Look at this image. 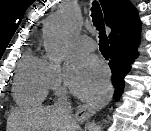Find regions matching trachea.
Returning <instances> with one entry per match:
<instances>
[{
  "mask_svg": "<svg viewBox=\"0 0 151 131\" xmlns=\"http://www.w3.org/2000/svg\"><path fill=\"white\" fill-rule=\"evenodd\" d=\"M91 11H92L91 17H92L93 24L96 27V29L99 31L100 52L106 59H108L109 40L105 33V25H104L102 11L97 1H94L92 3Z\"/></svg>",
  "mask_w": 151,
  "mask_h": 131,
  "instance_id": "trachea-1",
  "label": "trachea"
}]
</instances>
